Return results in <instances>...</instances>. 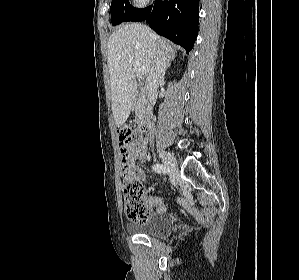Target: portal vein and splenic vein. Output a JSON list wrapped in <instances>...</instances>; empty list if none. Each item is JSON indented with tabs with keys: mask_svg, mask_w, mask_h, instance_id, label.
<instances>
[{
	"mask_svg": "<svg viewBox=\"0 0 299 280\" xmlns=\"http://www.w3.org/2000/svg\"><path fill=\"white\" fill-rule=\"evenodd\" d=\"M133 68L134 71L139 75H144L147 72L146 68L138 62L133 63Z\"/></svg>",
	"mask_w": 299,
	"mask_h": 280,
	"instance_id": "obj_1",
	"label": "portal vein and splenic vein"
}]
</instances>
